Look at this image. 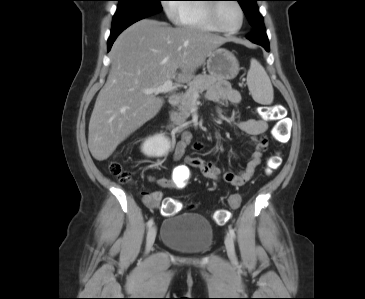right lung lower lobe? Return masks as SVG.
Instances as JSON below:
<instances>
[{
	"label": "right lung lower lobe",
	"instance_id": "1",
	"mask_svg": "<svg viewBox=\"0 0 365 299\" xmlns=\"http://www.w3.org/2000/svg\"><path fill=\"white\" fill-rule=\"evenodd\" d=\"M148 17V16H146ZM146 17H138V18H128V19H124V20H120L117 22H112V29H111V34L110 37L108 39V50L111 49V46L113 45L114 41L116 40V38L118 37V35L125 30L127 27H129L130 25H132L133 23L146 18Z\"/></svg>",
	"mask_w": 365,
	"mask_h": 299
}]
</instances>
